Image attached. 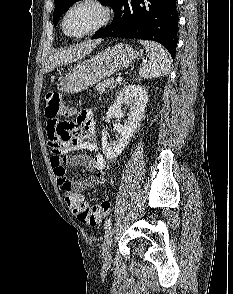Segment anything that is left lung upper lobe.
<instances>
[{
  "instance_id": "left-lung-upper-lobe-1",
  "label": "left lung upper lobe",
  "mask_w": 233,
  "mask_h": 294,
  "mask_svg": "<svg viewBox=\"0 0 233 294\" xmlns=\"http://www.w3.org/2000/svg\"><path fill=\"white\" fill-rule=\"evenodd\" d=\"M79 0H54L55 9L53 14V23L57 25L59 18L66 12L74 3ZM103 4L109 5L112 9L115 8L118 0H99Z\"/></svg>"
}]
</instances>
